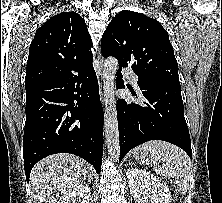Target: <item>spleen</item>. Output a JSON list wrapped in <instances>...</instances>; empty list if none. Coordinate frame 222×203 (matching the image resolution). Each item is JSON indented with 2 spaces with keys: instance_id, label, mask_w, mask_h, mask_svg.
Here are the masks:
<instances>
[{
  "instance_id": "spleen-1",
  "label": "spleen",
  "mask_w": 222,
  "mask_h": 203,
  "mask_svg": "<svg viewBox=\"0 0 222 203\" xmlns=\"http://www.w3.org/2000/svg\"><path fill=\"white\" fill-rule=\"evenodd\" d=\"M140 149L145 153L140 157V163H145L143 157L150 152V158L146 159V163L153 164L154 171L169 179L179 193H186L192 176V164L182 149L160 140L148 141ZM136 159L138 160L137 157ZM157 163L161 165L157 166Z\"/></svg>"
}]
</instances>
